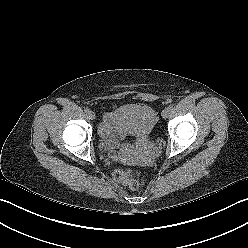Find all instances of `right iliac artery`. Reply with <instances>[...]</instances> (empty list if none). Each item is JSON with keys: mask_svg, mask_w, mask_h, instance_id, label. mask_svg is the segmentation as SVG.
<instances>
[{"mask_svg": "<svg viewBox=\"0 0 248 248\" xmlns=\"http://www.w3.org/2000/svg\"><path fill=\"white\" fill-rule=\"evenodd\" d=\"M84 111H85V113H89L90 112V109L89 108H85Z\"/></svg>", "mask_w": 248, "mask_h": 248, "instance_id": "obj_1", "label": "right iliac artery"}]
</instances>
